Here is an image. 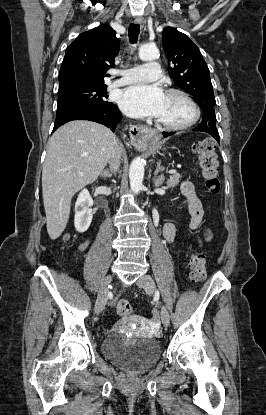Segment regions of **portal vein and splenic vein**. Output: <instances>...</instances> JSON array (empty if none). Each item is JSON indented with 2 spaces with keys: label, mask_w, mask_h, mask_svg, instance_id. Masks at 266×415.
I'll list each match as a JSON object with an SVG mask.
<instances>
[{
  "label": "portal vein and splenic vein",
  "mask_w": 266,
  "mask_h": 415,
  "mask_svg": "<svg viewBox=\"0 0 266 415\" xmlns=\"http://www.w3.org/2000/svg\"><path fill=\"white\" fill-rule=\"evenodd\" d=\"M169 173H170V174H176V173H177V171H176L175 169H172V170H169Z\"/></svg>",
  "instance_id": "portal-vein-and-splenic-vein-1"
}]
</instances>
